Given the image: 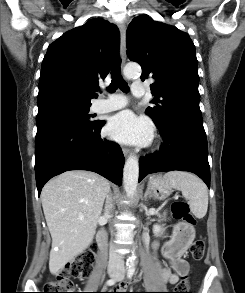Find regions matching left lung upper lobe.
Returning a JSON list of instances; mask_svg holds the SVG:
<instances>
[{"label": "left lung upper lobe", "instance_id": "1", "mask_svg": "<svg viewBox=\"0 0 245 293\" xmlns=\"http://www.w3.org/2000/svg\"><path fill=\"white\" fill-rule=\"evenodd\" d=\"M127 55L142 67L141 79L153 78L155 98L146 109L156 125L173 116L202 121L198 61L189 35L178 28L138 16L127 29Z\"/></svg>", "mask_w": 245, "mask_h": 293}]
</instances>
